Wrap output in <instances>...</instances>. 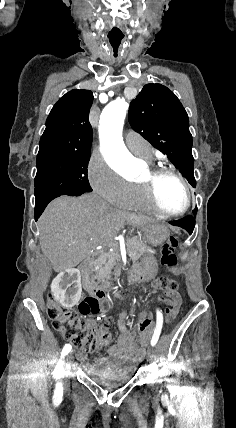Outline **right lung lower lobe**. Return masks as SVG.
<instances>
[{
    "label": "right lung lower lobe",
    "instance_id": "obj_1",
    "mask_svg": "<svg viewBox=\"0 0 236 428\" xmlns=\"http://www.w3.org/2000/svg\"><path fill=\"white\" fill-rule=\"evenodd\" d=\"M85 192H77V193H71L69 194L70 196H79L81 194H83ZM59 197V196H53L50 198H47L43 201L40 202H36L35 204V220L37 221V219L40 217V215L42 214V212L44 211L45 207L48 205V203L53 200L54 198Z\"/></svg>",
    "mask_w": 236,
    "mask_h": 428
}]
</instances>
